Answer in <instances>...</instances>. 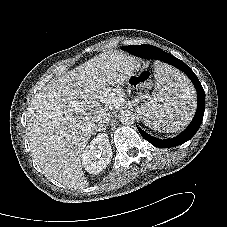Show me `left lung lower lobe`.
I'll return each mask as SVG.
<instances>
[{"label": "left lung lower lobe", "mask_w": 227, "mask_h": 227, "mask_svg": "<svg viewBox=\"0 0 227 227\" xmlns=\"http://www.w3.org/2000/svg\"><path fill=\"white\" fill-rule=\"evenodd\" d=\"M127 52L145 58V59H159L163 62H166L168 64H171L181 71H183L192 81L194 84L196 91H197V97H198V105H197V111L196 114L190 123V125L177 137L171 138V139H157L155 137L150 136L146 132H144L140 127L137 126L138 131L142 135L144 139H146L148 142H150L152 145L160 148H170L174 146L181 145L188 140H190L195 133L198 131L201 122L203 120V115L205 111V94L203 87L201 83L199 82L197 76L194 74V72L181 60L175 58L174 56L164 52L163 50L151 46V45H137L129 47Z\"/></svg>", "instance_id": "1"}]
</instances>
